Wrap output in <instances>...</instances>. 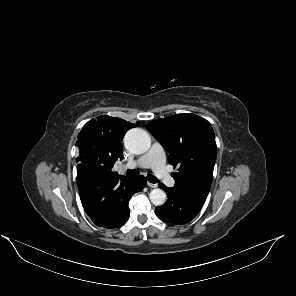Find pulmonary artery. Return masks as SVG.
<instances>
[{"mask_svg":"<svg viewBox=\"0 0 296 296\" xmlns=\"http://www.w3.org/2000/svg\"><path fill=\"white\" fill-rule=\"evenodd\" d=\"M122 169L150 168L156 176L168 187H174L175 180L171 177L165 166V154L162 146L155 142L149 151L121 167Z\"/></svg>","mask_w":296,"mask_h":296,"instance_id":"pulmonary-artery-1","label":"pulmonary artery"}]
</instances>
